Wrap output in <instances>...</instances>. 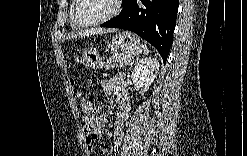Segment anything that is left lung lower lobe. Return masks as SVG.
<instances>
[{
    "instance_id": "obj_1",
    "label": "left lung lower lobe",
    "mask_w": 247,
    "mask_h": 156,
    "mask_svg": "<svg viewBox=\"0 0 247 156\" xmlns=\"http://www.w3.org/2000/svg\"><path fill=\"white\" fill-rule=\"evenodd\" d=\"M178 0H123V9L102 27L132 31L148 41L165 63L173 42Z\"/></svg>"
}]
</instances>
